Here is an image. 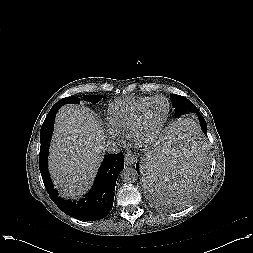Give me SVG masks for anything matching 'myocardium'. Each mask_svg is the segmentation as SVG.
Returning a JSON list of instances; mask_svg holds the SVG:
<instances>
[{"label": "myocardium", "instance_id": "myocardium-1", "mask_svg": "<svg viewBox=\"0 0 253 253\" xmlns=\"http://www.w3.org/2000/svg\"><path fill=\"white\" fill-rule=\"evenodd\" d=\"M158 98H163L167 101V113L163 119V121L152 131L144 134L142 131V123L144 120V116H145V112L148 108V106L156 99ZM171 113V104L170 101L167 97L163 96V95H155L153 97H151L149 100H147L139 109L138 114L133 122V125L129 131V137L139 143H150L153 140H155L157 138V136L162 132V130L164 129L169 116Z\"/></svg>", "mask_w": 253, "mask_h": 253}]
</instances>
